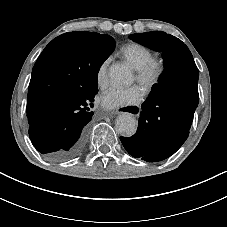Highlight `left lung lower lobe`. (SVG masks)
Masks as SVG:
<instances>
[{
    "instance_id": "obj_1",
    "label": "left lung lower lobe",
    "mask_w": 227,
    "mask_h": 227,
    "mask_svg": "<svg viewBox=\"0 0 227 227\" xmlns=\"http://www.w3.org/2000/svg\"><path fill=\"white\" fill-rule=\"evenodd\" d=\"M199 71L194 61L181 59L142 104L138 129L120 137L127 152L148 162L170 157L186 141L198 105Z\"/></svg>"
}]
</instances>
